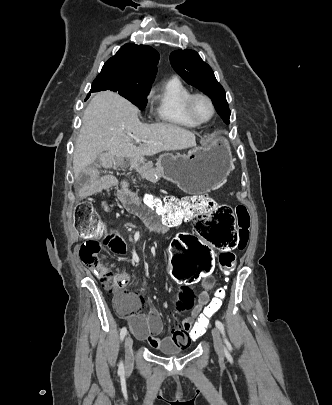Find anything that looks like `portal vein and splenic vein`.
<instances>
[{
  "mask_svg": "<svg viewBox=\"0 0 332 405\" xmlns=\"http://www.w3.org/2000/svg\"><path fill=\"white\" fill-rule=\"evenodd\" d=\"M135 140H136V142H144V143H146V141H145V140L140 139V138H136Z\"/></svg>",
  "mask_w": 332,
  "mask_h": 405,
  "instance_id": "1",
  "label": "portal vein and splenic vein"
}]
</instances>
